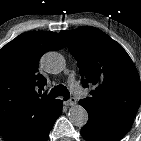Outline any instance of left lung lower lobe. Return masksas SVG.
<instances>
[{
    "instance_id": "0a47b994",
    "label": "left lung lower lobe",
    "mask_w": 141,
    "mask_h": 141,
    "mask_svg": "<svg viewBox=\"0 0 141 141\" xmlns=\"http://www.w3.org/2000/svg\"><path fill=\"white\" fill-rule=\"evenodd\" d=\"M89 120L81 134L87 141H119L129 131L133 119H113L87 110Z\"/></svg>"
}]
</instances>
